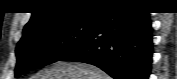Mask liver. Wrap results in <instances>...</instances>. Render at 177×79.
Wrapping results in <instances>:
<instances>
[{
  "label": "liver",
  "mask_w": 177,
  "mask_h": 79,
  "mask_svg": "<svg viewBox=\"0 0 177 79\" xmlns=\"http://www.w3.org/2000/svg\"><path fill=\"white\" fill-rule=\"evenodd\" d=\"M31 79H110L99 68L81 62L57 61Z\"/></svg>",
  "instance_id": "liver-1"
}]
</instances>
